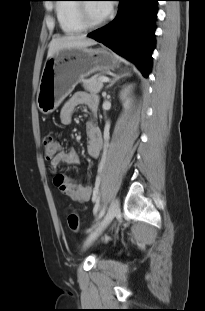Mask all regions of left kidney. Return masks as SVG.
I'll return each instance as SVG.
<instances>
[{"label":"left kidney","instance_id":"1","mask_svg":"<svg viewBox=\"0 0 205 311\" xmlns=\"http://www.w3.org/2000/svg\"><path fill=\"white\" fill-rule=\"evenodd\" d=\"M129 88H130V86H128L124 91L121 92L120 98L122 100L126 99V96H127L128 92H129ZM123 105H124L125 108H127L128 107V102L123 103Z\"/></svg>","mask_w":205,"mask_h":311}]
</instances>
